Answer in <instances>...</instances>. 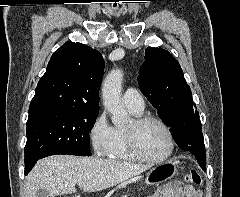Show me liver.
I'll return each mask as SVG.
<instances>
[{
  "instance_id": "obj_1",
  "label": "liver",
  "mask_w": 240,
  "mask_h": 197,
  "mask_svg": "<svg viewBox=\"0 0 240 197\" xmlns=\"http://www.w3.org/2000/svg\"><path fill=\"white\" fill-rule=\"evenodd\" d=\"M150 166L97 157L54 155L39 160L26 177L25 197H36L38 189L50 196L72 194L75 185L84 192L101 191L124 182Z\"/></svg>"
}]
</instances>
